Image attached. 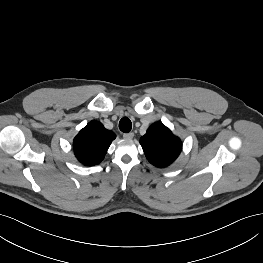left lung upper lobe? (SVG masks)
<instances>
[{
  "mask_svg": "<svg viewBox=\"0 0 263 263\" xmlns=\"http://www.w3.org/2000/svg\"><path fill=\"white\" fill-rule=\"evenodd\" d=\"M140 144L148 161L157 167L170 165L179 156L182 143L162 123L152 124L141 137Z\"/></svg>",
  "mask_w": 263,
  "mask_h": 263,
  "instance_id": "left-lung-upper-lobe-1",
  "label": "left lung upper lobe"
}]
</instances>
